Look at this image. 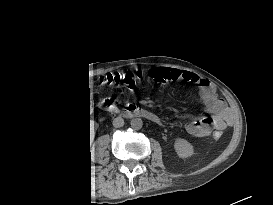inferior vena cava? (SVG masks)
<instances>
[{
	"label": "inferior vena cava",
	"instance_id": "inferior-vena-cava-1",
	"mask_svg": "<svg viewBox=\"0 0 273 205\" xmlns=\"http://www.w3.org/2000/svg\"><path fill=\"white\" fill-rule=\"evenodd\" d=\"M124 125V120L121 117H117L113 120V126L115 128H120Z\"/></svg>",
	"mask_w": 273,
	"mask_h": 205
}]
</instances>
